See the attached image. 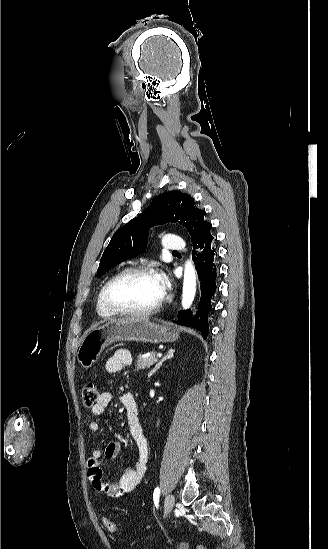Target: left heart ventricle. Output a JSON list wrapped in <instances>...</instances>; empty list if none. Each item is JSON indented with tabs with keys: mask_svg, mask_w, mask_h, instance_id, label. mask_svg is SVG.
<instances>
[{
	"mask_svg": "<svg viewBox=\"0 0 328 549\" xmlns=\"http://www.w3.org/2000/svg\"><path fill=\"white\" fill-rule=\"evenodd\" d=\"M157 271V268H153ZM157 274L135 272L119 280L110 291L116 309H146L162 297Z\"/></svg>",
	"mask_w": 328,
	"mask_h": 549,
	"instance_id": "left-heart-ventricle-1",
	"label": "left heart ventricle"
}]
</instances>
